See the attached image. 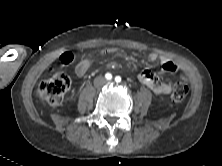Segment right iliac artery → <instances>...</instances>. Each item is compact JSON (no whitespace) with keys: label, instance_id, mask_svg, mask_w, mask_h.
I'll return each mask as SVG.
<instances>
[{"label":"right iliac artery","instance_id":"right-iliac-artery-1","mask_svg":"<svg viewBox=\"0 0 222 166\" xmlns=\"http://www.w3.org/2000/svg\"><path fill=\"white\" fill-rule=\"evenodd\" d=\"M105 78H106L107 80H111V79H112V74L106 73V74H105Z\"/></svg>","mask_w":222,"mask_h":166}]
</instances>
